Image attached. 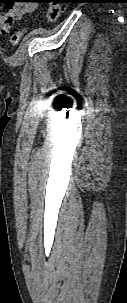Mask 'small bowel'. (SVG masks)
I'll list each match as a JSON object with an SVG mask.
<instances>
[{
  "label": "small bowel",
  "instance_id": "1",
  "mask_svg": "<svg viewBox=\"0 0 127 303\" xmlns=\"http://www.w3.org/2000/svg\"><path fill=\"white\" fill-rule=\"evenodd\" d=\"M24 3L10 6L9 9L0 12V28L4 34H8L11 25L22 15L32 13L37 9L35 0L20 1Z\"/></svg>",
  "mask_w": 127,
  "mask_h": 303
}]
</instances>
